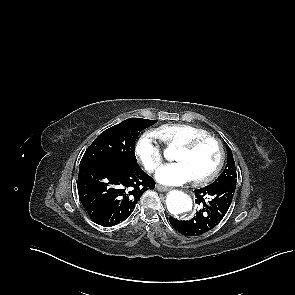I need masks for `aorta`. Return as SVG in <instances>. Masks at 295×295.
Here are the masks:
<instances>
[{
  "label": "aorta",
  "mask_w": 295,
  "mask_h": 295,
  "mask_svg": "<svg viewBox=\"0 0 295 295\" xmlns=\"http://www.w3.org/2000/svg\"><path fill=\"white\" fill-rule=\"evenodd\" d=\"M167 210L175 216L189 213L193 208L192 198L178 190H172L166 197Z\"/></svg>",
  "instance_id": "aorta-1"
}]
</instances>
